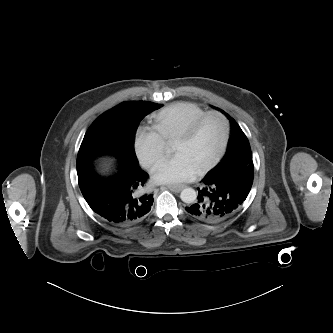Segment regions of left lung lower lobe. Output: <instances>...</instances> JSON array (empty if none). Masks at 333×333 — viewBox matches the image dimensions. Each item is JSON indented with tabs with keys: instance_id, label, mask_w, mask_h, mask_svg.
Segmentation results:
<instances>
[{
	"instance_id": "left-lung-lower-lobe-1",
	"label": "left lung lower lobe",
	"mask_w": 333,
	"mask_h": 333,
	"mask_svg": "<svg viewBox=\"0 0 333 333\" xmlns=\"http://www.w3.org/2000/svg\"><path fill=\"white\" fill-rule=\"evenodd\" d=\"M253 183V171L232 168L219 176L207 175L198 188V198L186 211L194 218L217 223L231 216L247 198Z\"/></svg>"
}]
</instances>
